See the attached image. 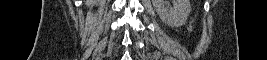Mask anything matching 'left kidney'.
I'll return each instance as SVG.
<instances>
[{
	"instance_id": "obj_1",
	"label": "left kidney",
	"mask_w": 267,
	"mask_h": 60,
	"mask_svg": "<svg viewBox=\"0 0 267 60\" xmlns=\"http://www.w3.org/2000/svg\"><path fill=\"white\" fill-rule=\"evenodd\" d=\"M173 7L168 0H152L155 11L160 19L169 27L182 26L191 11L189 0H172Z\"/></svg>"
}]
</instances>
